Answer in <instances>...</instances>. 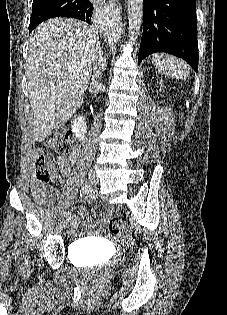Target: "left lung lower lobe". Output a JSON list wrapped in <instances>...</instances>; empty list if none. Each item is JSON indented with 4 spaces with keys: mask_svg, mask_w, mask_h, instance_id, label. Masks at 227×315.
Listing matches in <instances>:
<instances>
[{
    "mask_svg": "<svg viewBox=\"0 0 227 315\" xmlns=\"http://www.w3.org/2000/svg\"><path fill=\"white\" fill-rule=\"evenodd\" d=\"M143 34L138 64L155 52L184 59L198 71L195 0H143Z\"/></svg>",
    "mask_w": 227,
    "mask_h": 315,
    "instance_id": "1",
    "label": "left lung lower lobe"
}]
</instances>
